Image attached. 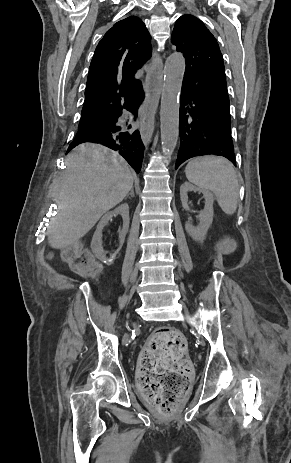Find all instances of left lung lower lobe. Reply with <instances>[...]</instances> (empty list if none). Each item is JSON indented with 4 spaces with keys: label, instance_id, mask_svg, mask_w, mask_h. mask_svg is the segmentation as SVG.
I'll use <instances>...</instances> for the list:
<instances>
[{
    "label": "left lung lower lobe",
    "instance_id": "obj_1",
    "mask_svg": "<svg viewBox=\"0 0 291 463\" xmlns=\"http://www.w3.org/2000/svg\"><path fill=\"white\" fill-rule=\"evenodd\" d=\"M180 147L175 169L184 161L203 155H218L234 165L230 117L213 110L197 96L181 91L179 111Z\"/></svg>",
    "mask_w": 291,
    "mask_h": 463
}]
</instances>
